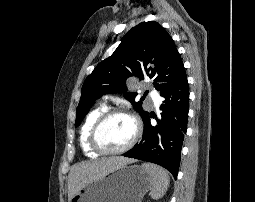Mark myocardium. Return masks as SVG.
Instances as JSON below:
<instances>
[{
	"instance_id": "obj_1",
	"label": "myocardium",
	"mask_w": 255,
	"mask_h": 202,
	"mask_svg": "<svg viewBox=\"0 0 255 202\" xmlns=\"http://www.w3.org/2000/svg\"><path fill=\"white\" fill-rule=\"evenodd\" d=\"M118 115L126 116L129 119H131V121L134 124V134H133L131 140L124 147H122L120 149H116V150H108L100 145V143L98 141V133H99L101 127L103 126V124L107 120H109L110 118H112L114 116H118ZM141 134H142L141 123H140L139 119L134 114H132L131 112H129L125 109H121V108L110 109V110L105 111L93 124L90 134H89V144H90L91 148L99 154L118 155V154H123V153L127 152L128 150H130L136 144V142L139 140Z\"/></svg>"
}]
</instances>
